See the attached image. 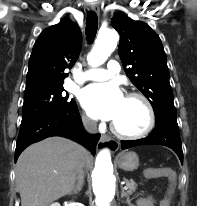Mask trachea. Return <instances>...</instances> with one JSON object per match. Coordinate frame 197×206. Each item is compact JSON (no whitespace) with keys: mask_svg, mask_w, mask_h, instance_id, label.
I'll return each instance as SVG.
<instances>
[{"mask_svg":"<svg viewBox=\"0 0 197 206\" xmlns=\"http://www.w3.org/2000/svg\"><path fill=\"white\" fill-rule=\"evenodd\" d=\"M98 29V19L94 12H90L86 19V38L89 43H92Z\"/></svg>","mask_w":197,"mask_h":206,"instance_id":"3493384b","label":"trachea"}]
</instances>
